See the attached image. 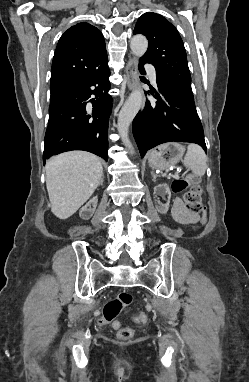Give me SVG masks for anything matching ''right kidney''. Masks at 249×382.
Segmentation results:
<instances>
[{
  "mask_svg": "<svg viewBox=\"0 0 249 382\" xmlns=\"http://www.w3.org/2000/svg\"><path fill=\"white\" fill-rule=\"evenodd\" d=\"M98 198L93 197L79 212V215L82 219L88 220L92 217L95 208L97 206Z\"/></svg>",
  "mask_w": 249,
  "mask_h": 382,
  "instance_id": "1",
  "label": "right kidney"
}]
</instances>
